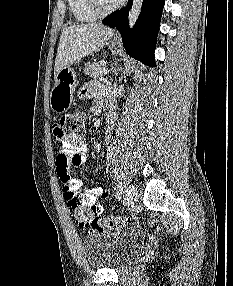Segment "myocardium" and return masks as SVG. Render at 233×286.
I'll return each mask as SVG.
<instances>
[{
    "label": "myocardium",
    "mask_w": 233,
    "mask_h": 286,
    "mask_svg": "<svg viewBox=\"0 0 233 286\" xmlns=\"http://www.w3.org/2000/svg\"><path fill=\"white\" fill-rule=\"evenodd\" d=\"M122 1L116 2L108 8H104L101 5L100 0H87L89 8L97 17H103V16L109 15L110 13L114 12L116 9L120 7V5L122 4Z\"/></svg>",
    "instance_id": "myocardium-1"
}]
</instances>
